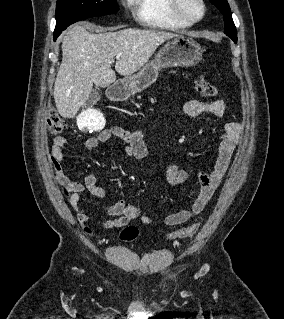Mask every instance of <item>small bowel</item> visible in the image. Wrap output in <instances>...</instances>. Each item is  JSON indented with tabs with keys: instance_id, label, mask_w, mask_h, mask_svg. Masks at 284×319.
I'll return each mask as SVG.
<instances>
[{
	"instance_id": "obj_1",
	"label": "small bowel",
	"mask_w": 284,
	"mask_h": 319,
	"mask_svg": "<svg viewBox=\"0 0 284 319\" xmlns=\"http://www.w3.org/2000/svg\"><path fill=\"white\" fill-rule=\"evenodd\" d=\"M184 112L188 116L196 117L203 114H210L222 118L226 113V105L221 100L207 101L201 99H191L184 105ZM241 127L237 122H227L218 138L217 158L210 171L201 170L197 175L198 193L192 203L178 212L165 215L162 221L168 226H176L191 220L200 214L209 200L214 196L217 189L223 182L229 169L234 150L238 144ZM112 137L121 139L125 146L124 153L127 156L143 159L147 156L148 150L143 140V134L139 130H127L119 126H114L102 130L96 136L88 138L85 143L87 151H94L99 144L106 143ZM66 140L63 137H56L51 147V162L54 176L66 195L70 206L76 212L77 220L85 233L93 236L94 232L89 223L91 215L80 206L82 195L85 191L89 192L94 198L105 199L107 193L98 184L94 174L87 175L82 182L70 179L63 170L64 154L63 146ZM166 176L174 186H180L190 180L189 174L180 169L175 163L166 164ZM102 209L109 216L108 219L97 222L102 229L121 228L130 221L140 218L143 224L150 225L158 221L157 218L141 214L139 208L128 204L124 199L102 205Z\"/></svg>"
}]
</instances>
